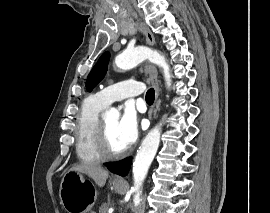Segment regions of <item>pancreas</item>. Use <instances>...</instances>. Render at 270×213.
Returning <instances> with one entry per match:
<instances>
[{"mask_svg":"<svg viewBox=\"0 0 270 213\" xmlns=\"http://www.w3.org/2000/svg\"><path fill=\"white\" fill-rule=\"evenodd\" d=\"M108 204L104 203L99 208V213H107Z\"/></svg>","mask_w":270,"mask_h":213,"instance_id":"cf45deb5","label":"pancreas"}]
</instances>
